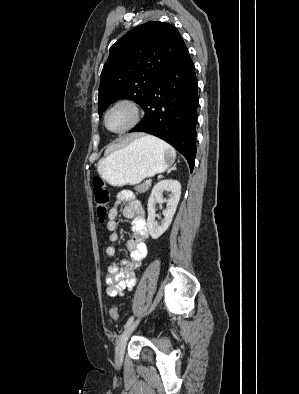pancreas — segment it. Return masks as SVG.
<instances>
[{
  "instance_id": "1",
  "label": "pancreas",
  "mask_w": 299,
  "mask_h": 394,
  "mask_svg": "<svg viewBox=\"0 0 299 394\" xmlns=\"http://www.w3.org/2000/svg\"><path fill=\"white\" fill-rule=\"evenodd\" d=\"M150 184L142 183L135 187V191L138 193H145L148 191Z\"/></svg>"
}]
</instances>
